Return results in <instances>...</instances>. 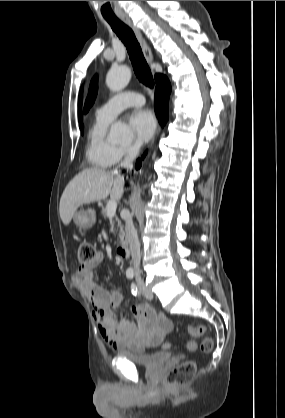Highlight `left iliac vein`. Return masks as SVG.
<instances>
[{
	"instance_id": "left-iliac-vein-1",
	"label": "left iliac vein",
	"mask_w": 285,
	"mask_h": 418,
	"mask_svg": "<svg viewBox=\"0 0 285 418\" xmlns=\"http://www.w3.org/2000/svg\"><path fill=\"white\" fill-rule=\"evenodd\" d=\"M137 285H138V288H139L140 292L142 293V295L144 297H146L147 299H152L153 298L152 291L145 285L144 281L139 279L137 281Z\"/></svg>"
}]
</instances>
